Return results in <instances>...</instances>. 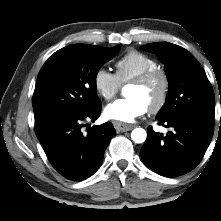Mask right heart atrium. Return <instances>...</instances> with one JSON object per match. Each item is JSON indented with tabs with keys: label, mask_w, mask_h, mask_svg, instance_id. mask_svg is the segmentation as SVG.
Listing matches in <instances>:
<instances>
[{
	"label": "right heart atrium",
	"mask_w": 221,
	"mask_h": 221,
	"mask_svg": "<svg viewBox=\"0 0 221 221\" xmlns=\"http://www.w3.org/2000/svg\"><path fill=\"white\" fill-rule=\"evenodd\" d=\"M93 84L98 95L105 100L112 99L121 86L117 76L104 67L96 70L93 77Z\"/></svg>",
	"instance_id": "1"
}]
</instances>
